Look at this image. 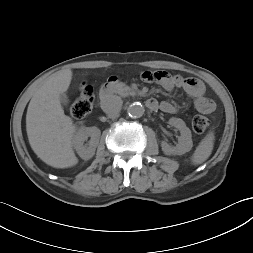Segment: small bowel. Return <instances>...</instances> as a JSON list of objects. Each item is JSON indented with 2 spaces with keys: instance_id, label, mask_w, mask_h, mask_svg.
Instances as JSON below:
<instances>
[{
  "instance_id": "obj_1",
  "label": "small bowel",
  "mask_w": 253,
  "mask_h": 253,
  "mask_svg": "<svg viewBox=\"0 0 253 253\" xmlns=\"http://www.w3.org/2000/svg\"><path fill=\"white\" fill-rule=\"evenodd\" d=\"M142 79L147 82H156L166 91H172L174 88H181L192 98L195 109L200 113L211 114L215 110L214 101L206 97L205 85L199 79L171 75L165 71H146L142 74ZM159 108L161 111L169 114L178 111V106L169 101H162L159 104Z\"/></svg>"
}]
</instances>
